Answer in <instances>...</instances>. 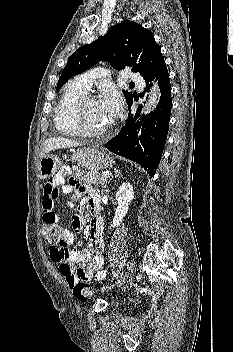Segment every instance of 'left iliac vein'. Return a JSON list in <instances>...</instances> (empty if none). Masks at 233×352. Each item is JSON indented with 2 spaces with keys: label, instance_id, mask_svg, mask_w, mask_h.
<instances>
[{
  "label": "left iliac vein",
  "instance_id": "obj_1",
  "mask_svg": "<svg viewBox=\"0 0 233 352\" xmlns=\"http://www.w3.org/2000/svg\"><path fill=\"white\" fill-rule=\"evenodd\" d=\"M134 269H135V263L131 262L126 269L125 275L123 276L122 280H125L127 277L132 275ZM112 288H114V286L110 287L109 289H106L105 292L111 290Z\"/></svg>",
  "mask_w": 233,
  "mask_h": 352
}]
</instances>
